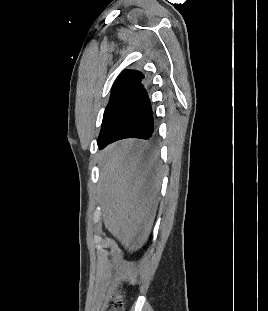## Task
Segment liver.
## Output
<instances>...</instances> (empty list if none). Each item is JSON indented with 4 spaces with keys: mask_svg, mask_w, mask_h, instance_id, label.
Listing matches in <instances>:
<instances>
[{
    "mask_svg": "<svg viewBox=\"0 0 268 311\" xmlns=\"http://www.w3.org/2000/svg\"><path fill=\"white\" fill-rule=\"evenodd\" d=\"M99 199L105 228L130 253L148 239L158 207L161 169L143 141L127 139L101 152Z\"/></svg>",
    "mask_w": 268,
    "mask_h": 311,
    "instance_id": "6515ba94",
    "label": "liver"
}]
</instances>
